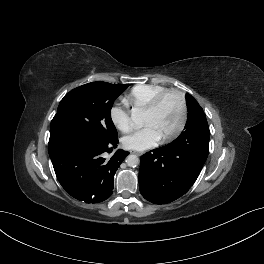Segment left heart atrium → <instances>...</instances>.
<instances>
[{
	"label": "left heart atrium",
	"mask_w": 264,
	"mask_h": 264,
	"mask_svg": "<svg viewBox=\"0 0 264 264\" xmlns=\"http://www.w3.org/2000/svg\"><path fill=\"white\" fill-rule=\"evenodd\" d=\"M161 138L156 128L149 124L124 136L122 144L127 149L142 151L157 145Z\"/></svg>",
	"instance_id": "obj_1"
}]
</instances>
